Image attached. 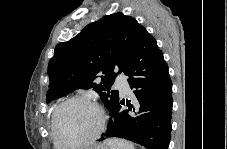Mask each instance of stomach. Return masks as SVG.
I'll return each mask as SVG.
<instances>
[{"label": "stomach", "instance_id": "1", "mask_svg": "<svg viewBox=\"0 0 227 149\" xmlns=\"http://www.w3.org/2000/svg\"><path fill=\"white\" fill-rule=\"evenodd\" d=\"M95 149H109L108 145L103 144V145H99L97 148Z\"/></svg>", "mask_w": 227, "mask_h": 149}]
</instances>
